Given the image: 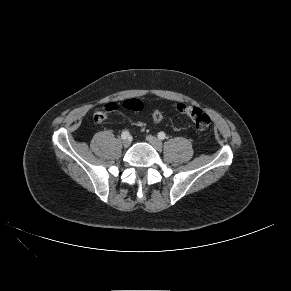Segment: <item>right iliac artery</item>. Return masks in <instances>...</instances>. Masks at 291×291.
Here are the masks:
<instances>
[{"instance_id": "right-iliac-artery-1", "label": "right iliac artery", "mask_w": 291, "mask_h": 291, "mask_svg": "<svg viewBox=\"0 0 291 291\" xmlns=\"http://www.w3.org/2000/svg\"><path fill=\"white\" fill-rule=\"evenodd\" d=\"M129 136H130V134H129V132L126 131V130L123 131L122 134H121V137H122V139H124V140L127 139Z\"/></svg>"}]
</instances>
